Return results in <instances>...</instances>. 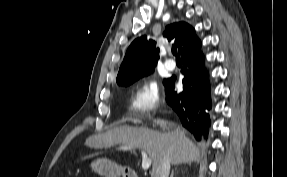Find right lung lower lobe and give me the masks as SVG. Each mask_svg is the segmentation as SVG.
I'll list each match as a JSON object with an SVG mask.
<instances>
[{"instance_id": "right-lung-lower-lobe-1", "label": "right lung lower lobe", "mask_w": 287, "mask_h": 177, "mask_svg": "<svg viewBox=\"0 0 287 177\" xmlns=\"http://www.w3.org/2000/svg\"><path fill=\"white\" fill-rule=\"evenodd\" d=\"M201 42L194 35L181 54L184 75L183 91H175L176 76L164 80L166 101L178 114L182 125L196 137H207L210 125L206 109L211 108L209 99V83L207 72L204 71V57L199 50Z\"/></svg>"}]
</instances>
